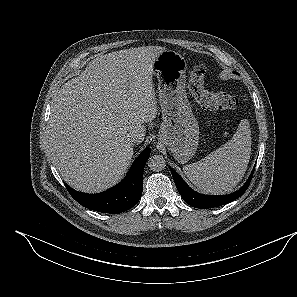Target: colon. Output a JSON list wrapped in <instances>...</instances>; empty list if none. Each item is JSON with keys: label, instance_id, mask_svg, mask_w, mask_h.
I'll use <instances>...</instances> for the list:
<instances>
[{"label": "colon", "instance_id": "colon-1", "mask_svg": "<svg viewBox=\"0 0 297 297\" xmlns=\"http://www.w3.org/2000/svg\"><path fill=\"white\" fill-rule=\"evenodd\" d=\"M206 66L198 64L189 76V89L192 96L206 109L227 111L237 106V99L228 93H212L205 88Z\"/></svg>", "mask_w": 297, "mask_h": 297}]
</instances>
